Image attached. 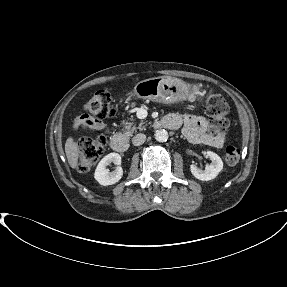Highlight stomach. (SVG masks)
<instances>
[{
	"label": "stomach",
	"instance_id": "1",
	"mask_svg": "<svg viewBox=\"0 0 287 287\" xmlns=\"http://www.w3.org/2000/svg\"><path fill=\"white\" fill-rule=\"evenodd\" d=\"M191 95L190 89L182 81L161 76L138 82L129 97L170 104L186 100Z\"/></svg>",
	"mask_w": 287,
	"mask_h": 287
}]
</instances>
